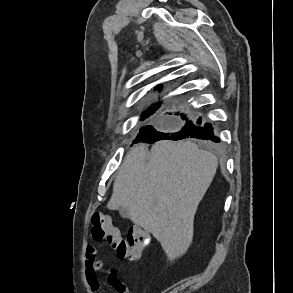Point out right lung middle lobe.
Instances as JSON below:
<instances>
[{"instance_id":"1","label":"right lung middle lobe","mask_w":293,"mask_h":293,"mask_svg":"<svg viewBox=\"0 0 293 293\" xmlns=\"http://www.w3.org/2000/svg\"><path fill=\"white\" fill-rule=\"evenodd\" d=\"M156 110H157V109H156ZM156 110H150V109H149L148 111H146V112L143 114V117L146 118L148 114L151 115V114H153Z\"/></svg>"}]
</instances>
